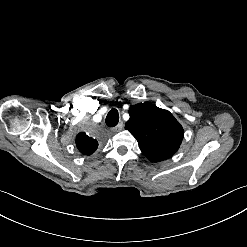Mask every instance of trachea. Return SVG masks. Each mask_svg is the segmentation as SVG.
<instances>
[{
    "mask_svg": "<svg viewBox=\"0 0 247 247\" xmlns=\"http://www.w3.org/2000/svg\"><path fill=\"white\" fill-rule=\"evenodd\" d=\"M118 122H119V114L116 109H112L106 117V124L109 127H114L118 124Z\"/></svg>",
    "mask_w": 247,
    "mask_h": 247,
    "instance_id": "3493384b",
    "label": "trachea"
}]
</instances>
